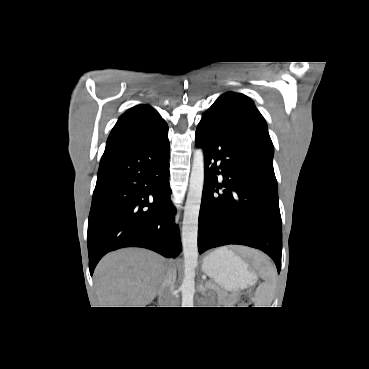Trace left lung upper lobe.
<instances>
[{"label": "left lung upper lobe", "mask_w": 369, "mask_h": 369, "mask_svg": "<svg viewBox=\"0 0 369 369\" xmlns=\"http://www.w3.org/2000/svg\"><path fill=\"white\" fill-rule=\"evenodd\" d=\"M221 121L230 130L246 137L273 158V144L267 124L252 100L241 93L222 94L203 114Z\"/></svg>", "instance_id": "1"}]
</instances>
